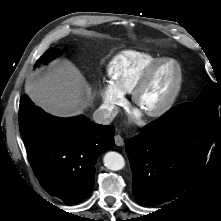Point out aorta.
<instances>
[{
  "label": "aorta",
  "mask_w": 221,
  "mask_h": 221,
  "mask_svg": "<svg viewBox=\"0 0 221 221\" xmlns=\"http://www.w3.org/2000/svg\"><path fill=\"white\" fill-rule=\"evenodd\" d=\"M103 161H104V165L109 170H113V171L121 170L125 165L123 156L114 151H110L106 153L103 158Z\"/></svg>",
  "instance_id": "762f6f07"
}]
</instances>
